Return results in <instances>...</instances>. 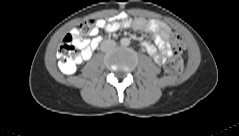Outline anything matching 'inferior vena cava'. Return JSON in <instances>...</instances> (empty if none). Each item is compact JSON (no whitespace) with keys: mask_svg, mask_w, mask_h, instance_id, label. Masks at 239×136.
Here are the masks:
<instances>
[{"mask_svg":"<svg viewBox=\"0 0 239 136\" xmlns=\"http://www.w3.org/2000/svg\"><path fill=\"white\" fill-rule=\"evenodd\" d=\"M116 45V42L114 40H104L101 45H100V48L103 50V51H106L112 47H114Z\"/></svg>","mask_w":239,"mask_h":136,"instance_id":"1","label":"inferior vena cava"}]
</instances>
